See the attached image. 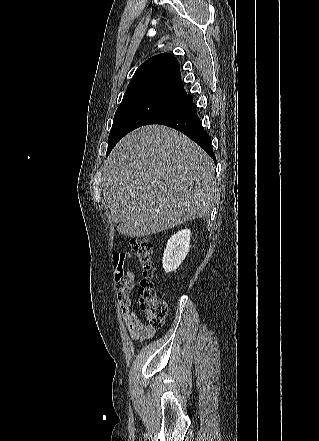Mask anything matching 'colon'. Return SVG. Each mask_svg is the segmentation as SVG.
Listing matches in <instances>:
<instances>
[{"label":"colon","instance_id":"5ec220e1","mask_svg":"<svg viewBox=\"0 0 319 441\" xmlns=\"http://www.w3.org/2000/svg\"><path fill=\"white\" fill-rule=\"evenodd\" d=\"M131 249L144 269L145 277L141 280L138 289L140 308L145 314L149 326L153 328L161 327L165 321L167 306L165 302L160 299L154 285L149 280L152 274L153 243L149 238L133 239ZM114 268L117 288L122 289L124 283V267L116 265Z\"/></svg>","mask_w":319,"mask_h":441}]
</instances>
